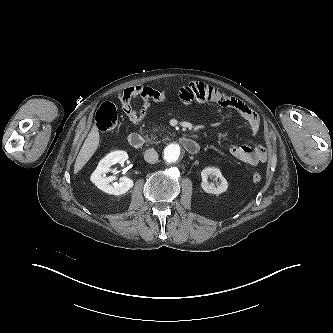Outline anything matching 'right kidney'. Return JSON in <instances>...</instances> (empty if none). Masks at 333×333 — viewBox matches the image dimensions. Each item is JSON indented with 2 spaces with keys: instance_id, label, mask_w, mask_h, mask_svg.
<instances>
[{
  "instance_id": "ca27d5eb",
  "label": "right kidney",
  "mask_w": 333,
  "mask_h": 333,
  "mask_svg": "<svg viewBox=\"0 0 333 333\" xmlns=\"http://www.w3.org/2000/svg\"><path fill=\"white\" fill-rule=\"evenodd\" d=\"M127 159L128 154L125 151L118 150L109 153L99 162L97 168L92 173L90 177L91 182L108 194L121 195L128 192L134 185L132 179L122 177L118 183L113 182L116 179L115 176H106L112 165L116 163L123 164Z\"/></svg>"
}]
</instances>
